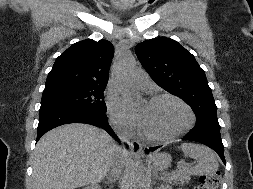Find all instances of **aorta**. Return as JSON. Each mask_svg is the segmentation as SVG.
Instances as JSON below:
<instances>
[{
  "mask_svg": "<svg viewBox=\"0 0 253 189\" xmlns=\"http://www.w3.org/2000/svg\"><path fill=\"white\" fill-rule=\"evenodd\" d=\"M135 70V60L128 54L124 53L120 60L117 62L114 68V75L117 81V85L121 92L126 97L127 101L131 105L138 103V97L136 94L131 93L126 86V79L130 73ZM133 180L136 189L144 187L146 180V168L141 160H137L133 168Z\"/></svg>",
  "mask_w": 253,
  "mask_h": 189,
  "instance_id": "aorta-1",
  "label": "aorta"
}]
</instances>
